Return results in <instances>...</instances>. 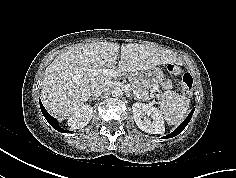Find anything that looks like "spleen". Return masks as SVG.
<instances>
[{
  "label": "spleen",
  "mask_w": 236,
  "mask_h": 178,
  "mask_svg": "<svg viewBox=\"0 0 236 178\" xmlns=\"http://www.w3.org/2000/svg\"><path fill=\"white\" fill-rule=\"evenodd\" d=\"M190 99L175 91H165L160 98V113L169 125L182 122L189 109Z\"/></svg>",
  "instance_id": "obj_1"
}]
</instances>
